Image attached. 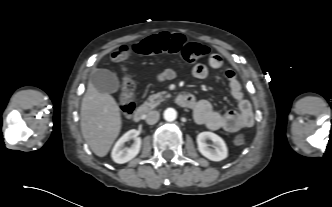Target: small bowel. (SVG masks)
I'll list each match as a JSON object with an SVG mask.
<instances>
[{
    "instance_id": "obj_1",
    "label": "small bowel",
    "mask_w": 332,
    "mask_h": 207,
    "mask_svg": "<svg viewBox=\"0 0 332 207\" xmlns=\"http://www.w3.org/2000/svg\"><path fill=\"white\" fill-rule=\"evenodd\" d=\"M223 65L222 59L212 54L207 64H196L192 73L197 79H204L208 76L209 69H219ZM173 69H167L157 77L158 81H165L175 77ZM224 76L228 81L230 93L238 104V112H220L215 110L207 100H196L193 107L195 120L207 126L211 130H224L236 132L240 129L253 125V112L250 102L245 98L241 84L237 79L236 72L231 67L224 69Z\"/></svg>"
}]
</instances>
